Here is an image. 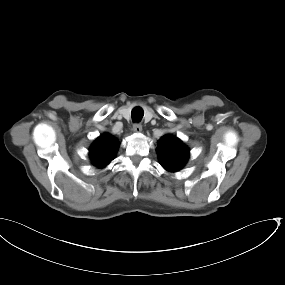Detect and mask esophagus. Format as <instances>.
<instances>
[{
    "instance_id": "esophagus-1",
    "label": "esophagus",
    "mask_w": 285,
    "mask_h": 285,
    "mask_svg": "<svg viewBox=\"0 0 285 285\" xmlns=\"http://www.w3.org/2000/svg\"><path fill=\"white\" fill-rule=\"evenodd\" d=\"M132 130L135 133H140L142 131V125L140 123H135Z\"/></svg>"
}]
</instances>
